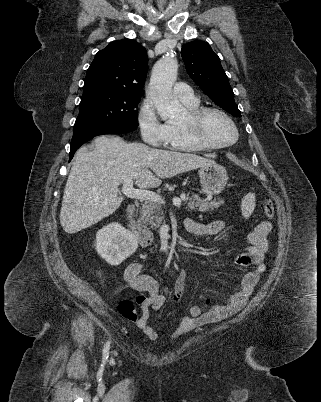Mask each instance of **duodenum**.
Masks as SVG:
<instances>
[{"instance_id": "410a0bca", "label": "duodenum", "mask_w": 321, "mask_h": 402, "mask_svg": "<svg viewBox=\"0 0 321 402\" xmlns=\"http://www.w3.org/2000/svg\"><path fill=\"white\" fill-rule=\"evenodd\" d=\"M125 220L128 229L136 236L142 247H149L154 244V235L145 226L136 221L134 217V207L132 205L126 210Z\"/></svg>"}]
</instances>
